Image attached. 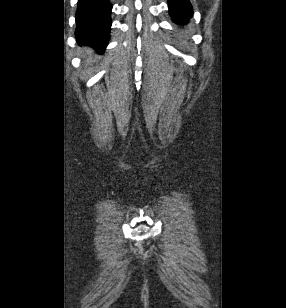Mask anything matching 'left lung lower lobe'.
<instances>
[{
    "label": "left lung lower lobe",
    "mask_w": 286,
    "mask_h": 308,
    "mask_svg": "<svg viewBox=\"0 0 286 308\" xmlns=\"http://www.w3.org/2000/svg\"><path fill=\"white\" fill-rule=\"evenodd\" d=\"M169 13L178 24H185L193 14L189 0H168Z\"/></svg>",
    "instance_id": "left-lung-lower-lobe-1"
}]
</instances>
